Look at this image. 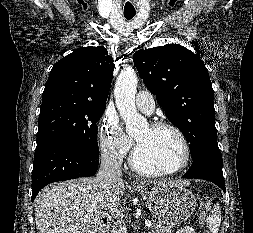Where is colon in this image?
<instances>
[{"label":"colon","mask_w":253,"mask_h":233,"mask_svg":"<svg viewBox=\"0 0 253 233\" xmlns=\"http://www.w3.org/2000/svg\"><path fill=\"white\" fill-rule=\"evenodd\" d=\"M203 207H204V210H205V211L208 210V208H209V203L204 202ZM206 233H209V232H206Z\"/></svg>","instance_id":"5ec220e1"}]
</instances>
